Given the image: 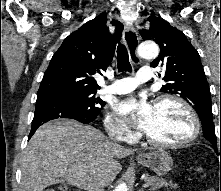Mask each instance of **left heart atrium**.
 Returning <instances> with one entry per match:
<instances>
[{"label":"left heart atrium","instance_id":"left-heart-atrium-1","mask_svg":"<svg viewBox=\"0 0 221 191\" xmlns=\"http://www.w3.org/2000/svg\"><path fill=\"white\" fill-rule=\"evenodd\" d=\"M116 111L125 121H129L132 118L133 124L144 132L149 129L154 115V107L145 99L136 97H130L118 102Z\"/></svg>","mask_w":221,"mask_h":191}]
</instances>
